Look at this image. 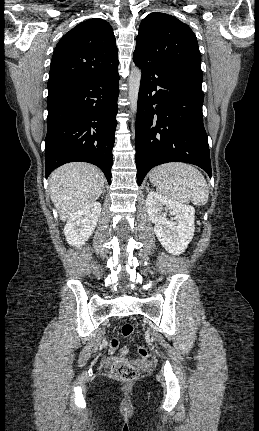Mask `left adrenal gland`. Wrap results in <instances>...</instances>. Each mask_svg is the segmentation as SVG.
Returning a JSON list of instances; mask_svg holds the SVG:
<instances>
[{
	"label": "left adrenal gland",
	"instance_id": "left-adrenal-gland-1",
	"mask_svg": "<svg viewBox=\"0 0 259 431\" xmlns=\"http://www.w3.org/2000/svg\"><path fill=\"white\" fill-rule=\"evenodd\" d=\"M146 190H147V192L149 191V184H147Z\"/></svg>",
	"mask_w": 259,
	"mask_h": 431
}]
</instances>
